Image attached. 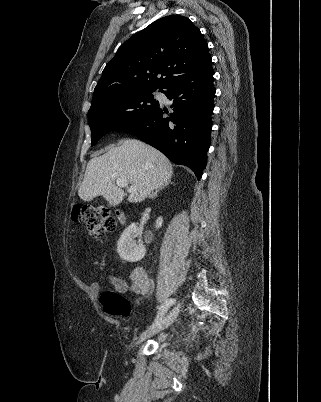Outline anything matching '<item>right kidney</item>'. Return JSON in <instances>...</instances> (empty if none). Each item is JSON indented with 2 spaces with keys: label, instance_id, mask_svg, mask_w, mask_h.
Returning <instances> with one entry per match:
<instances>
[{
  "label": "right kidney",
  "instance_id": "right-kidney-1",
  "mask_svg": "<svg viewBox=\"0 0 321 402\" xmlns=\"http://www.w3.org/2000/svg\"><path fill=\"white\" fill-rule=\"evenodd\" d=\"M163 218L158 217L156 220V228L159 229L162 226ZM139 235V229L136 223H131L120 236L117 243V252L120 258L127 262H136L141 260L146 249L141 239L135 240V237Z\"/></svg>",
  "mask_w": 321,
  "mask_h": 402
}]
</instances>
